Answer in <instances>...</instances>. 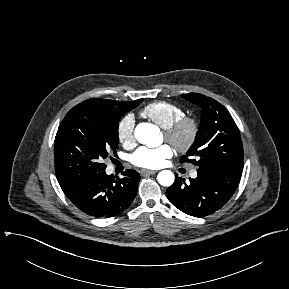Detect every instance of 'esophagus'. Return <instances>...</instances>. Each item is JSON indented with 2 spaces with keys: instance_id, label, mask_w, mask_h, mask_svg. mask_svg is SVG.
Masks as SVG:
<instances>
[{
  "instance_id": "34e87169",
  "label": "esophagus",
  "mask_w": 289,
  "mask_h": 289,
  "mask_svg": "<svg viewBox=\"0 0 289 289\" xmlns=\"http://www.w3.org/2000/svg\"><path fill=\"white\" fill-rule=\"evenodd\" d=\"M141 175L143 176H147V175H153V174H156L157 171H154V170H147V169H142L140 171Z\"/></svg>"
}]
</instances>
